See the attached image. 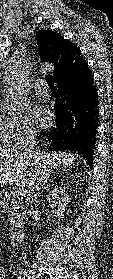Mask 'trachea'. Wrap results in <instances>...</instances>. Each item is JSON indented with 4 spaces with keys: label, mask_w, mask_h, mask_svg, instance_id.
<instances>
[{
    "label": "trachea",
    "mask_w": 113,
    "mask_h": 279,
    "mask_svg": "<svg viewBox=\"0 0 113 279\" xmlns=\"http://www.w3.org/2000/svg\"><path fill=\"white\" fill-rule=\"evenodd\" d=\"M45 80H46L48 86L50 87V89H55L54 82H53L51 75H46Z\"/></svg>",
    "instance_id": "3493384b"
}]
</instances>
